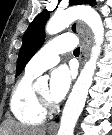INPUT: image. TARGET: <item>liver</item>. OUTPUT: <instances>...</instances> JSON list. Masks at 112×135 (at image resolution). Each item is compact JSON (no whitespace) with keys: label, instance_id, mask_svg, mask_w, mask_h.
Wrapping results in <instances>:
<instances>
[{"label":"liver","instance_id":"1","mask_svg":"<svg viewBox=\"0 0 112 135\" xmlns=\"http://www.w3.org/2000/svg\"><path fill=\"white\" fill-rule=\"evenodd\" d=\"M45 127H25L14 121L3 123L2 135H45Z\"/></svg>","mask_w":112,"mask_h":135}]
</instances>
